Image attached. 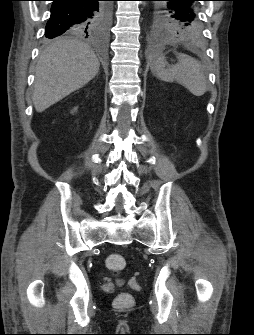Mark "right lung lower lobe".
Listing matches in <instances>:
<instances>
[{
    "instance_id": "98d812e1",
    "label": "right lung lower lobe",
    "mask_w": 254,
    "mask_h": 335,
    "mask_svg": "<svg viewBox=\"0 0 254 335\" xmlns=\"http://www.w3.org/2000/svg\"><path fill=\"white\" fill-rule=\"evenodd\" d=\"M50 19L46 24V38H55L63 33L84 31L90 33L98 20L102 0H52Z\"/></svg>"
}]
</instances>
